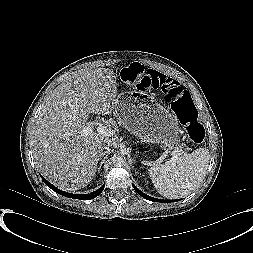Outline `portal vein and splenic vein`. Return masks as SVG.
Listing matches in <instances>:
<instances>
[{"mask_svg":"<svg viewBox=\"0 0 253 253\" xmlns=\"http://www.w3.org/2000/svg\"><path fill=\"white\" fill-rule=\"evenodd\" d=\"M94 131V125L92 122H87V126L84 128L83 130V134L84 135H88L90 133H92ZM96 131L102 135V136H105V137H110L114 134V131L110 128V127H107V126H104L102 124L98 125L96 127ZM176 154H179L178 152H174L173 153V156L176 158L177 155Z\"/></svg>","mask_w":253,"mask_h":253,"instance_id":"1","label":"portal vein and splenic vein"}]
</instances>
